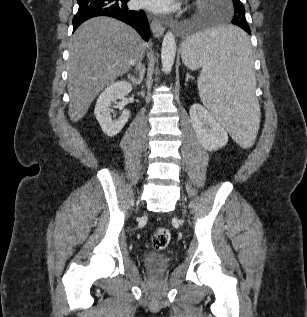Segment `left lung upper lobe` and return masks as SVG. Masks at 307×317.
<instances>
[{"mask_svg": "<svg viewBox=\"0 0 307 317\" xmlns=\"http://www.w3.org/2000/svg\"><path fill=\"white\" fill-rule=\"evenodd\" d=\"M234 6V17L232 19L233 23H238L242 25H247L245 19V8L240 0H232Z\"/></svg>", "mask_w": 307, "mask_h": 317, "instance_id": "left-lung-upper-lobe-1", "label": "left lung upper lobe"}]
</instances>
